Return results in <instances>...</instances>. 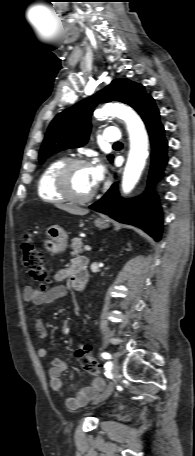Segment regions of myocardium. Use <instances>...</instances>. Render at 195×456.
<instances>
[{"label": "myocardium", "mask_w": 195, "mask_h": 456, "mask_svg": "<svg viewBox=\"0 0 195 456\" xmlns=\"http://www.w3.org/2000/svg\"><path fill=\"white\" fill-rule=\"evenodd\" d=\"M79 166L90 167V163L87 160L80 158L66 160L56 171L54 182L57 191L64 199L74 203H85L94 198L96 191L93 190L91 193L84 196L76 195L72 191L70 186V173L74 168Z\"/></svg>", "instance_id": "myocardium-1"}]
</instances>
